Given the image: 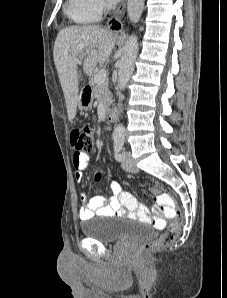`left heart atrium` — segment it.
<instances>
[{
  "instance_id": "1",
  "label": "left heart atrium",
  "mask_w": 227,
  "mask_h": 298,
  "mask_svg": "<svg viewBox=\"0 0 227 298\" xmlns=\"http://www.w3.org/2000/svg\"><path fill=\"white\" fill-rule=\"evenodd\" d=\"M108 2H110V3H116V2H118L119 0H107Z\"/></svg>"
}]
</instances>
